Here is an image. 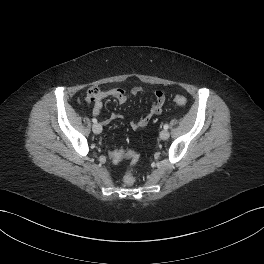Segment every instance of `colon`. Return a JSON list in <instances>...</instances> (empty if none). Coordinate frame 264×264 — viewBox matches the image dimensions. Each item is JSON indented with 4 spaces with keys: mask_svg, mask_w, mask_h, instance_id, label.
Returning a JSON list of instances; mask_svg holds the SVG:
<instances>
[{
    "mask_svg": "<svg viewBox=\"0 0 264 264\" xmlns=\"http://www.w3.org/2000/svg\"><path fill=\"white\" fill-rule=\"evenodd\" d=\"M100 95L101 92L96 88H91L87 91V99L90 101H94ZM174 102L180 106H184L187 104V99L182 95H177L174 97ZM115 157L127 158L130 160L131 168L124 177V184L126 186H131L135 182V177L133 174L132 167L137 163L139 159V155L137 154V152L133 150H127V151H121L119 154L115 155Z\"/></svg>",
    "mask_w": 264,
    "mask_h": 264,
    "instance_id": "1",
    "label": "colon"
}]
</instances>
